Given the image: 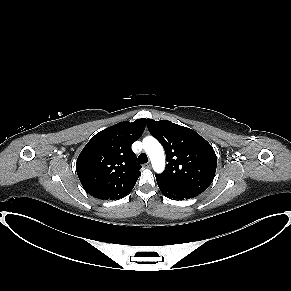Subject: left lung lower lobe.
Listing matches in <instances>:
<instances>
[{"label":"left lung lower lobe","instance_id":"1","mask_svg":"<svg viewBox=\"0 0 291 291\" xmlns=\"http://www.w3.org/2000/svg\"><path fill=\"white\" fill-rule=\"evenodd\" d=\"M156 180L161 192L164 194V196H166L169 199L184 200V199L194 198L199 195V194L184 191L172 185H169L163 182L162 180H160L157 176H156Z\"/></svg>","mask_w":291,"mask_h":291}]
</instances>
